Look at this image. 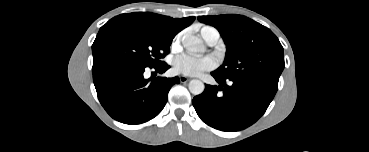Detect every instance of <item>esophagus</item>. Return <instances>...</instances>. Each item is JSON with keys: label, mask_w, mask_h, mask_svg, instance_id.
I'll return each instance as SVG.
<instances>
[{"label": "esophagus", "mask_w": 369, "mask_h": 152, "mask_svg": "<svg viewBox=\"0 0 369 152\" xmlns=\"http://www.w3.org/2000/svg\"><path fill=\"white\" fill-rule=\"evenodd\" d=\"M179 79H180V82L181 83H186V82H188L190 80V78H188V77H186L184 75L179 76Z\"/></svg>", "instance_id": "34e87169"}]
</instances>
